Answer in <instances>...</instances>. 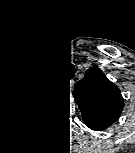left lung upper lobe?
<instances>
[{
  "mask_svg": "<svg viewBox=\"0 0 135 153\" xmlns=\"http://www.w3.org/2000/svg\"><path fill=\"white\" fill-rule=\"evenodd\" d=\"M74 95L85 123L97 130L112 124L123 108L120 90L98 68L87 70L75 85Z\"/></svg>",
  "mask_w": 135,
  "mask_h": 153,
  "instance_id": "5c2ea615",
  "label": "left lung upper lobe"
}]
</instances>
